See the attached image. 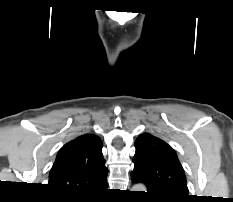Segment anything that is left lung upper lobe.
Returning a JSON list of instances; mask_svg holds the SVG:
<instances>
[{"label":"left lung upper lobe","instance_id":"5c2ea615","mask_svg":"<svg viewBox=\"0 0 233 202\" xmlns=\"http://www.w3.org/2000/svg\"><path fill=\"white\" fill-rule=\"evenodd\" d=\"M132 180L143 182L150 199L160 202H184L189 198L184 170L173 148L149 134L135 142Z\"/></svg>","mask_w":233,"mask_h":202}]
</instances>
